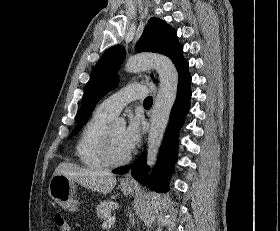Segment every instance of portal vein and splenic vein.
Instances as JSON below:
<instances>
[{
    "label": "portal vein and splenic vein",
    "instance_id": "portal-vein-and-splenic-vein-1",
    "mask_svg": "<svg viewBox=\"0 0 280 231\" xmlns=\"http://www.w3.org/2000/svg\"><path fill=\"white\" fill-rule=\"evenodd\" d=\"M115 215H112V217H108L104 223H102V227H110V225H113L115 223Z\"/></svg>",
    "mask_w": 280,
    "mask_h": 231
}]
</instances>
